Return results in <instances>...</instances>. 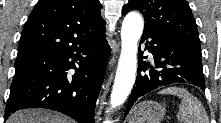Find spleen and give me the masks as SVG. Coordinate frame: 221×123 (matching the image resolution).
<instances>
[{
    "label": "spleen",
    "mask_w": 221,
    "mask_h": 123,
    "mask_svg": "<svg viewBox=\"0 0 221 123\" xmlns=\"http://www.w3.org/2000/svg\"><path fill=\"white\" fill-rule=\"evenodd\" d=\"M159 94L175 95L181 99L177 114V118L181 123H209L207 112L201 101L188 90L169 87L161 90Z\"/></svg>",
    "instance_id": "spleen-1"
}]
</instances>
